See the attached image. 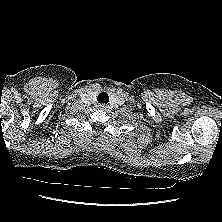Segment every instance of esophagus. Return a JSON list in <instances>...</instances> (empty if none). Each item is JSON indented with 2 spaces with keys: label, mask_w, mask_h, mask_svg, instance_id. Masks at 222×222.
Here are the masks:
<instances>
[{
  "label": "esophagus",
  "mask_w": 222,
  "mask_h": 222,
  "mask_svg": "<svg viewBox=\"0 0 222 222\" xmlns=\"http://www.w3.org/2000/svg\"><path fill=\"white\" fill-rule=\"evenodd\" d=\"M99 107H100L101 109H105V108H106V106H105L104 104L100 105Z\"/></svg>",
  "instance_id": "obj_1"
}]
</instances>
